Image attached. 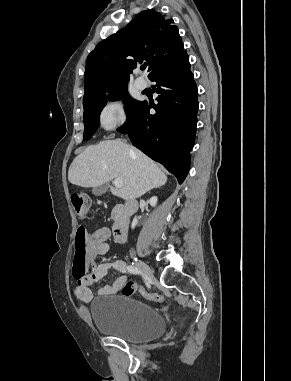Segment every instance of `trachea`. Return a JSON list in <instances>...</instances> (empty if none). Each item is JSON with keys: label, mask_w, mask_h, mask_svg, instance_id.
Returning a JSON list of instances; mask_svg holds the SVG:
<instances>
[{"label": "trachea", "mask_w": 291, "mask_h": 381, "mask_svg": "<svg viewBox=\"0 0 291 381\" xmlns=\"http://www.w3.org/2000/svg\"><path fill=\"white\" fill-rule=\"evenodd\" d=\"M144 69H145V67H144V66H142V67H141V70H144Z\"/></svg>", "instance_id": "3493384b"}]
</instances>
